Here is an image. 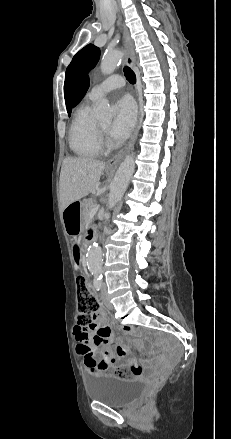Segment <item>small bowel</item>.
Listing matches in <instances>:
<instances>
[{"mask_svg":"<svg viewBox=\"0 0 231 439\" xmlns=\"http://www.w3.org/2000/svg\"><path fill=\"white\" fill-rule=\"evenodd\" d=\"M70 207L71 205L68 208ZM74 335L78 341L77 353L83 357L85 365L89 358L100 364L101 370H106L110 366L139 365L130 355L128 346L118 345L115 350L110 347L113 335L110 326L106 323V313L103 309L95 313L94 320L89 327L76 326Z\"/></svg>","mask_w":231,"mask_h":439,"instance_id":"1","label":"small bowel"}]
</instances>
